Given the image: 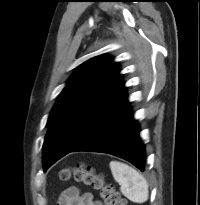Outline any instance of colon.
Masks as SVG:
<instances>
[{"label": "colon", "instance_id": "colon-1", "mask_svg": "<svg viewBox=\"0 0 200 205\" xmlns=\"http://www.w3.org/2000/svg\"><path fill=\"white\" fill-rule=\"evenodd\" d=\"M59 178L62 181L73 179L98 191L105 205H127L126 200L121 197L115 186L107 183L102 173L84 162L74 167L63 168L59 173Z\"/></svg>", "mask_w": 200, "mask_h": 205}]
</instances>
